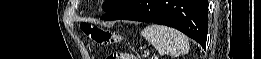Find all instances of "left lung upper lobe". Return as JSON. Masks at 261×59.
I'll return each instance as SVG.
<instances>
[{
    "instance_id": "5c2ea615",
    "label": "left lung upper lobe",
    "mask_w": 261,
    "mask_h": 59,
    "mask_svg": "<svg viewBox=\"0 0 261 59\" xmlns=\"http://www.w3.org/2000/svg\"><path fill=\"white\" fill-rule=\"evenodd\" d=\"M122 1L123 0H106L103 4V10L108 12Z\"/></svg>"
}]
</instances>
